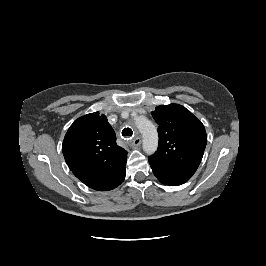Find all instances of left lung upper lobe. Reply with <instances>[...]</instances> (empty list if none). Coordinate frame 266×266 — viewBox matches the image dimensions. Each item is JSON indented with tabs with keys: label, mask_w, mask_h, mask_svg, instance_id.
<instances>
[{
	"label": "left lung upper lobe",
	"mask_w": 266,
	"mask_h": 266,
	"mask_svg": "<svg viewBox=\"0 0 266 266\" xmlns=\"http://www.w3.org/2000/svg\"><path fill=\"white\" fill-rule=\"evenodd\" d=\"M159 125L158 150L149 163L157 179L170 186L188 181L197 170L207 143L204 125L179 104L160 105L152 112Z\"/></svg>",
	"instance_id": "1"
}]
</instances>
